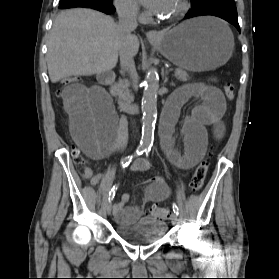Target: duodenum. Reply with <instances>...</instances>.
I'll use <instances>...</instances> for the list:
<instances>
[{
	"label": "duodenum",
	"mask_w": 279,
	"mask_h": 279,
	"mask_svg": "<svg viewBox=\"0 0 279 279\" xmlns=\"http://www.w3.org/2000/svg\"><path fill=\"white\" fill-rule=\"evenodd\" d=\"M99 79L102 82L108 83L112 87V90L115 91L114 77L111 73H109V72L101 73L99 75ZM117 104H118V106L121 110H123L127 113L135 114V115L139 114V105H138V102H136V101H128V100H125V99H118Z\"/></svg>",
	"instance_id": "1"
}]
</instances>
